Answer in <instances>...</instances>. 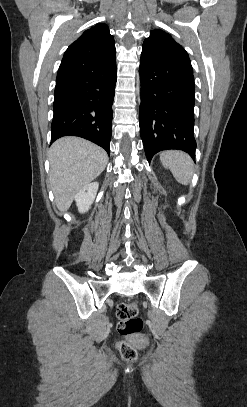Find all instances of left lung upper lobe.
Listing matches in <instances>:
<instances>
[{
	"label": "left lung upper lobe",
	"mask_w": 247,
	"mask_h": 407,
	"mask_svg": "<svg viewBox=\"0 0 247 407\" xmlns=\"http://www.w3.org/2000/svg\"><path fill=\"white\" fill-rule=\"evenodd\" d=\"M142 55L167 66L192 71L187 52L168 33L152 30L142 46Z\"/></svg>",
	"instance_id": "1"
}]
</instances>
